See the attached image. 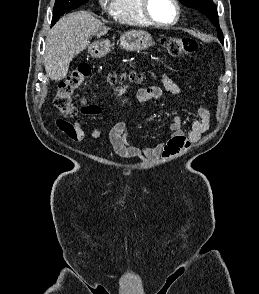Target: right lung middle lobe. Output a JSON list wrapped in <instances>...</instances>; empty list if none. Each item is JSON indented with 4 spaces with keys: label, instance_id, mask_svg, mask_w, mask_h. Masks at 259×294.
I'll use <instances>...</instances> for the list:
<instances>
[{
    "label": "right lung middle lobe",
    "instance_id": "obj_1",
    "mask_svg": "<svg viewBox=\"0 0 259 294\" xmlns=\"http://www.w3.org/2000/svg\"><path fill=\"white\" fill-rule=\"evenodd\" d=\"M88 2V0H56L54 5V14L52 18V25L58 21L59 16L78 8L80 5Z\"/></svg>",
    "mask_w": 259,
    "mask_h": 294
}]
</instances>
